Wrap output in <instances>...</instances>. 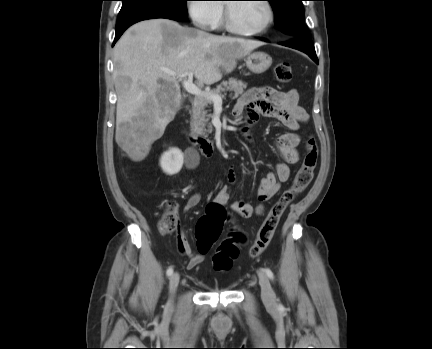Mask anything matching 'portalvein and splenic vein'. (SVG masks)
Returning <instances> with one entry per match:
<instances>
[{"mask_svg":"<svg viewBox=\"0 0 432 349\" xmlns=\"http://www.w3.org/2000/svg\"><path fill=\"white\" fill-rule=\"evenodd\" d=\"M164 71L172 76V77H176V78H180V77H185L182 81V85L185 88V90L193 95H201V96H205L208 99L212 100V102L214 104H222V98L223 96L219 95V94H213L211 92H204L201 90L200 87H198L197 85H195L193 83V73L192 72H187L184 74H178L172 70H168V69H164Z\"/></svg>","mask_w":432,"mask_h":349,"instance_id":"portal-vein-and-splenic-vein-1","label":"portal vein and splenic vein"}]
</instances>
